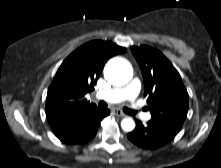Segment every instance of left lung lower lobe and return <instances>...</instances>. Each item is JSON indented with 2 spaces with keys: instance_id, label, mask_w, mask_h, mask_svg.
Listing matches in <instances>:
<instances>
[{
  "instance_id": "1",
  "label": "left lung lower lobe",
  "mask_w": 221,
  "mask_h": 168,
  "mask_svg": "<svg viewBox=\"0 0 221 168\" xmlns=\"http://www.w3.org/2000/svg\"><path fill=\"white\" fill-rule=\"evenodd\" d=\"M177 133L176 130L151 120L145 125L136 120V128L127 137L136 146L155 149L168 143Z\"/></svg>"
}]
</instances>
